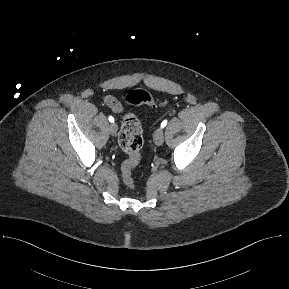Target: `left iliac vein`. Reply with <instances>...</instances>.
<instances>
[{"label":"left iliac vein","instance_id":"obj_1","mask_svg":"<svg viewBox=\"0 0 289 289\" xmlns=\"http://www.w3.org/2000/svg\"><path fill=\"white\" fill-rule=\"evenodd\" d=\"M155 143L156 145H161L162 142H163V133H162V130L161 129H158L156 132H155Z\"/></svg>","mask_w":289,"mask_h":289}]
</instances>
